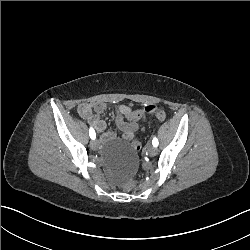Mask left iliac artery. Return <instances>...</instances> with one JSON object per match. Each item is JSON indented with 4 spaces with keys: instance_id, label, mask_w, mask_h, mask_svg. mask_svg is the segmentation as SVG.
Here are the masks:
<instances>
[{
    "instance_id": "obj_1",
    "label": "left iliac artery",
    "mask_w": 250,
    "mask_h": 250,
    "mask_svg": "<svg viewBox=\"0 0 250 250\" xmlns=\"http://www.w3.org/2000/svg\"><path fill=\"white\" fill-rule=\"evenodd\" d=\"M152 144H153L154 147L158 146L159 142H158V139L156 137L153 138Z\"/></svg>"
}]
</instances>
